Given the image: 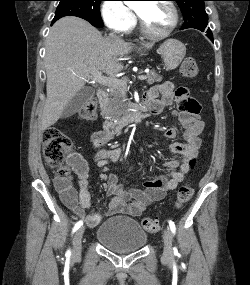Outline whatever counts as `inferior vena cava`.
I'll list each match as a JSON object with an SVG mask.
<instances>
[{
	"label": "inferior vena cava",
	"mask_w": 250,
	"mask_h": 285,
	"mask_svg": "<svg viewBox=\"0 0 250 285\" xmlns=\"http://www.w3.org/2000/svg\"><path fill=\"white\" fill-rule=\"evenodd\" d=\"M110 37H111V38L120 39V38H119L118 36H116L114 33H111V34H110Z\"/></svg>",
	"instance_id": "inferior-vena-cava-1"
}]
</instances>
